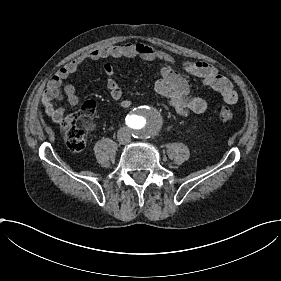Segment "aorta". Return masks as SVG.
Returning a JSON list of instances; mask_svg holds the SVG:
<instances>
[{
  "mask_svg": "<svg viewBox=\"0 0 281 281\" xmlns=\"http://www.w3.org/2000/svg\"><path fill=\"white\" fill-rule=\"evenodd\" d=\"M127 124L137 137L149 138L161 129L163 116L152 106L140 105L127 117Z\"/></svg>",
  "mask_w": 281,
  "mask_h": 281,
  "instance_id": "aorta-1",
  "label": "aorta"
}]
</instances>
